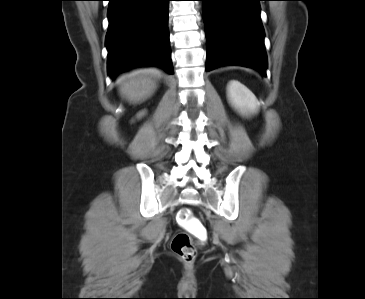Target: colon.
I'll use <instances>...</instances> for the list:
<instances>
[{
	"label": "colon",
	"mask_w": 365,
	"mask_h": 299,
	"mask_svg": "<svg viewBox=\"0 0 365 299\" xmlns=\"http://www.w3.org/2000/svg\"><path fill=\"white\" fill-rule=\"evenodd\" d=\"M178 225L184 230L177 233L171 242L172 251L185 261H193L196 257L195 237L200 241L207 238V231L202 222L196 218L191 209L182 208L176 217Z\"/></svg>",
	"instance_id": "colon-1"
}]
</instances>
